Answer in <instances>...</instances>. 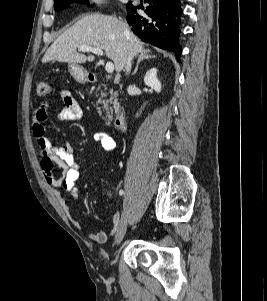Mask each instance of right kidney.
Segmentation results:
<instances>
[{"label":"right kidney","mask_w":267,"mask_h":301,"mask_svg":"<svg viewBox=\"0 0 267 301\" xmlns=\"http://www.w3.org/2000/svg\"><path fill=\"white\" fill-rule=\"evenodd\" d=\"M144 83L146 86L151 87L156 92L161 91V83L157 78V69L152 68L149 71H147L145 77H144Z\"/></svg>","instance_id":"obj_1"}]
</instances>
